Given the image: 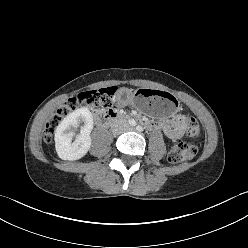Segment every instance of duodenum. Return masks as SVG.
<instances>
[{"instance_id": "1", "label": "duodenum", "mask_w": 248, "mask_h": 248, "mask_svg": "<svg viewBox=\"0 0 248 248\" xmlns=\"http://www.w3.org/2000/svg\"><path fill=\"white\" fill-rule=\"evenodd\" d=\"M121 119H122V116L113 111H108V112L96 115V120L102 124H108V123L115 122Z\"/></svg>"}]
</instances>
